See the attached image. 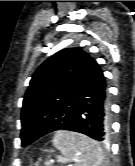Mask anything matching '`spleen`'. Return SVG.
Listing matches in <instances>:
<instances>
[{
  "label": "spleen",
  "instance_id": "3e777b00",
  "mask_svg": "<svg viewBox=\"0 0 135 166\" xmlns=\"http://www.w3.org/2000/svg\"><path fill=\"white\" fill-rule=\"evenodd\" d=\"M52 144L61 153L56 157L58 162L74 163L68 166H101L103 163L104 154L99 143L86 135L56 131Z\"/></svg>",
  "mask_w": 135,
  "mask_h": 166
}]
</instances>
